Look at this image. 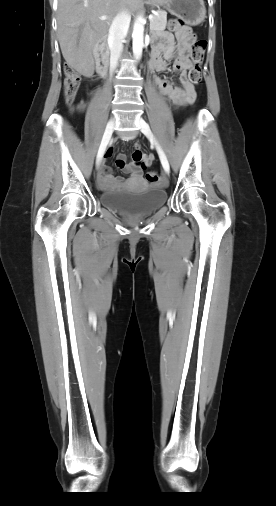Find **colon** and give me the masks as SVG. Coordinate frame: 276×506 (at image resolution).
<instances>
[{"instance_id":"obj_1","label":"colon","mask_w":276,"mask_h":506,"mask_svg":"<svg viewBox=\"0 0 276 506\" xmlns=\"http://www.w3.org/2000/svg\"><path fill=\"white\" fill-rule=\"evenodd\" d=\"M168 27L173 32H180L186 28L185 23L180 18H172L168 23ZM206 40L199 39L194 42L190 58L192 61V67L188 72V79L192 84H200L202 81V66L204 61V55L206 50ZM64 99L68 105H72L77 95L80 86V74L69 66L64 69ZM139 158V156H136ZM145 179L148 183L153 185H164L165 182L162 176L156 171H150L146 174Z\"/></svg>"}]
</instances>
